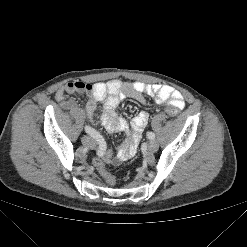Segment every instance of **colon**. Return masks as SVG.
Segmentation results:
<instances>
[{
	"label": "colon",
	"instance_id": "colon-1",
	"mask_svg": "<svg viewBox=\"0 0 247 247\" xmlns=\"http://www.w3.org/2000/svg\"><path fill=\"white\" fill-rule=\"evenodd\" d=\"M166 113L171 117H176L178 115V109L176 107H167ZM95 166L108 184H115V177L106 169L105 163L102 159L95 160Z\"/></svg>",
	"mask_w": 247,
	"mask_h": 247
}]
</instances>
